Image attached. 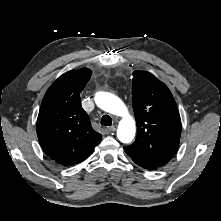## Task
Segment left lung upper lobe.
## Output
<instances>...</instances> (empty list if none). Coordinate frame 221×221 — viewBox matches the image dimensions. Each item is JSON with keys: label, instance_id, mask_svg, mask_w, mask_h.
<instances>
[{"label": "left lung upper lobe", "instance_id": "obj_1", "mask_svg": "<svg viewBox=\"0 0 221 221\" xmlns=\"http://www.w3.org/2000/svg\"><path fill=\"white\" fill-rule=\"evenodd\" d=\"M132 103L137 137L124 150L134 160L160 167L179 145L181 120L175 100L168 87L154 75L134 71Z\"/></svg>", "mask_w": 221, "mask_h": 221}]
</instances>
